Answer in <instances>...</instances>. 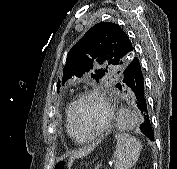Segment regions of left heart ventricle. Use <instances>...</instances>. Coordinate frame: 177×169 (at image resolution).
Listing matches in <instances>:
<instances>
[{
    "instance_id": "1",
    "label": "left heart ventricle",
    "mask_w": 177,
    "mask_h": 169,
    "mask_svg": "<svg viewBox=\"0 0 177 169\" xmlns=\"http://www.w3.org/2000/svg\"><path fill=\"white\" fill-rule=\"evenodd\" d=\"M104 117V110L97 99H84L76 114V126L79 135L85 136L95 132L103 123Z\"/></svg>"
}]
</instances>
